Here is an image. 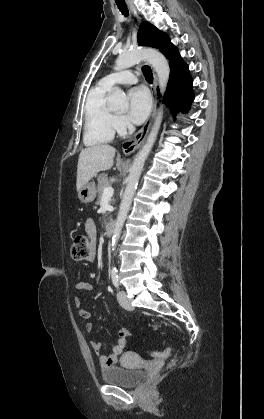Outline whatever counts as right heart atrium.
I'll return each instance as SVG.
<instances>
[{
    "instance_id": "right-heart-atrium-1",
    "label": "right heart atrium",
    "mask_w": 264,
    "mask_h": 419,
    "mask_svg": "<svg viewBox=\"0 0 264 419\" xmlns=\"http://www.w3.org/2000/svg\"><path fill=\"white\" fill-rule=\"evenodd\" d=\"M114 128L119 134L125 133L130 128V123L122 114H116L114 117Z\"/></svg>"
}]
</instances>
